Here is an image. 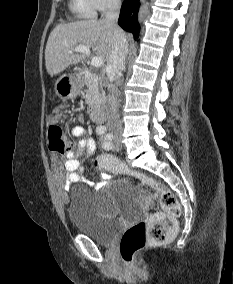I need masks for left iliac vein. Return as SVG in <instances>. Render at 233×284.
Segmentation results:
<instances>
[{
  "instance_id": "4c4485c4",
  "label": "left iliac vein",
  "mask_w": 233,
  "mask_h": 284,
  "mask_svg": "<svg viewBox=\"0 0 233 284\" xmlns=\"http://www.w3.org/2000/svg\"><path fill=\"white\" fill-rule=\"evenodd\" d=\"M122 148V143L119 137H115L112 142V149L115 151H119Z\"/></svg>"
}]
</instances>
